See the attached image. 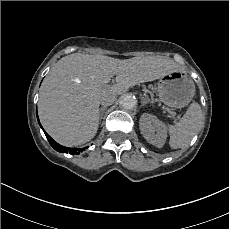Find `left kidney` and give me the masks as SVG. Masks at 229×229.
<instances>
[{
  "instance_id": "obj_1",
  "label": "left kidney",
  "mask_w": 229,
  "mask_h": 229,
  "mask_svg": "<svg viewBox=\"0 0 229 229\" xmlns=\"http://www.w3.org/2000/svg\"><path fill=\"white\" fill-rule=\"evenodd\" d=\"M140 130L144 138L152 145L162 148L167 138V127L156 116L144 113L140 118Z\"/></svg>"
}]
</instances>
